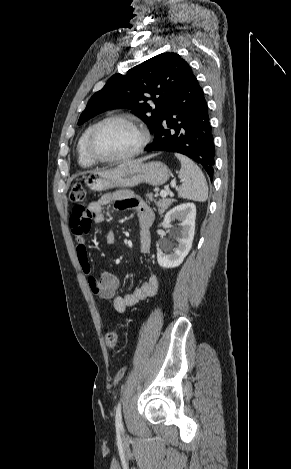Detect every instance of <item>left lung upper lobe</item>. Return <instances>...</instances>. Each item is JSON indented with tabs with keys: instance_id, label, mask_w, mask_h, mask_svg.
Masks as SVG:
<instances>
[{
	"instance_id": "5c2ea615",
	"label": "left lung upper lobe",
	"mask_w": 291,
	"mask_h": 469,
	"mask_svg": "<svg viewBox=\"0 0 291 469\" xmlns=\"http://www.w3.org/2000/svg\"><path fill=\"white\" fill-rule=\"evenodd\" d=\"M191 73L189 64L178 54H159L130 69L126 75L110 77L91 97L78 124L109 109L129 108L155 133L162 124L167 105ZM148 100L154 102L155 109L147 104Z\"/></svg>"
}]
</instances>
